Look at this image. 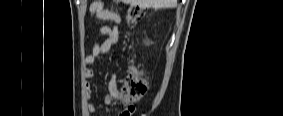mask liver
<instances>
[{"label": "liver", "mask_w": 283, "mask_h": 116, "mask_svg": "<svg viewBox=\"0 0 283 116\" xmlns=\"http://www.w3.org/2000/svg\"><path fill=\"white\" fill-rule=\"evenodd\" d=\"M122 2L131 5H138L142 8H174L177 6V0H122Z\"/></svg>", "instance_id": "1"}]
</instances>
